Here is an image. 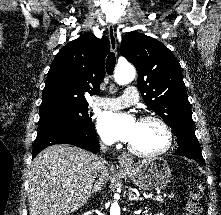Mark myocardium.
<instances>
[{
	"mask_svg": "<svg viewBox=\"0 0 221 215\" xmlns=\"http://www.w3.org/2000/svg\"><path fill=\"white\" fill-rule=\"evenodd\" d=\"M148 121L156 122L161 126V128L164 131L166 141L162 148L156 151H152V152L140 151L134 148L131 144L128 145V150L132 154L139 156V157H143V158H153V157H157L168 152L171 149L173 145V141H174L173 132L170 126L167 124V122L164 119L156 115H144L139 119V122H148Z\"/></svg>",
	"mask_w": 221,
	"mask_h": 215,
	"instance_id": "obj_1",
	"label": "myocardium"
}]
</instances>
